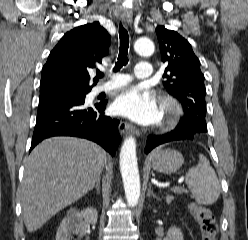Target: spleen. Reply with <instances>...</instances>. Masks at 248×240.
<instances>
[{"label": "spleen", "instance_id": "1", "mask_svg": "<svg viewBox=\"0 0 248 240\" xmlns=\"http://www.w3.org/2000/svg\"><path fill=\"white\" fill-rule=\"evenodd\" d=\"M186 184L199 204L211 205L220 195V184L208 159L199 155V163L186 173Z\"/></svg>", "mask_w": 248, "mask_h": 240}]
</instances>
